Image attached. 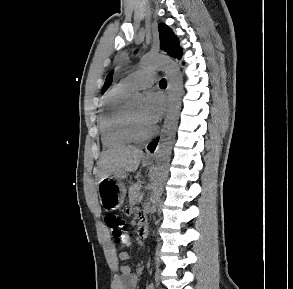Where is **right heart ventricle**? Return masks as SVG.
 <instances>
[{
	"mask_svg": "<svg viewBox=\"0 0 293 289\" xmlns=\"http://www.w3.org/2000/svg\"><path fill=\"white\" fill-rule=\"evenodd\" d=\"M129 90L118 84L111 88L103 98V110L100 116L102 143L107 148H116L130 144L127 133L126 97Z\"/></svg>",
	"mask_w": 293,
	"mask_h": 289,
	"instance_id": "e07e8e85",
	"label": "right heart ventricle"
}]
</instances>
